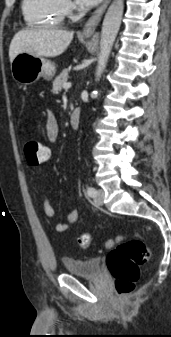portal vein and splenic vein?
Here are the masks:
<instances>
[{"label":"portal vein and splenic vein","instance_id":"obj_1","mask_svg":"<svg viewBox=\"0 0 171 337\" xmlns=\"http://www.w3.org/2000/svg\"><path fill=\"white\" fill-rule=\"evenodd\" d=\"M71 87V83H65L64 85H63V88L65 89V90H67V89H69Z\"/></svg>","mask_w":171,"mask_h":337}]
</instances>
